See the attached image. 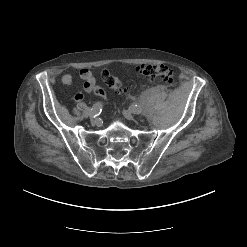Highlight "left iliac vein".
Instances as JSON below:
<instances>
[{"label":"left iliac vein","instance_id":"left-iliac-vein-1","mask_svg":"<svg viewBox=\"0 0 247 247\" xmlns=\"http://www.w3.org/2000/svg\"><path fill=\"white\" fill-rule=\"evenodd\" d=\"M123 115H124L125 118H127L128 120H133V114L130 112V110H124V111H123Z\"/></svg>","mask_w":247,"mask_h":247}]
</instances>
